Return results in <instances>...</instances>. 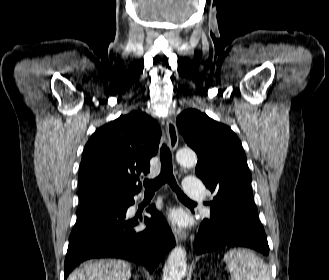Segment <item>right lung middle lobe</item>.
<instances>
[{
    "mask_svg": "<svg viewBox=\"0 0 329 280\" xmlns=\"http://www.w3.org/2000/svg\"><path fill=\"white\" fill-rule=\"evenodd\" d=\"M104 198L105 197L80 200V209H79V212H82V211L88 209L89 207L95 205L96 203L101 202Z\"/></svg>",
    "mask_w": 329,
    "mask_h": 280,
    "instance_id": "dd1d6c3e",
    "label": "right lung middle lobe"
}]
</instances>
